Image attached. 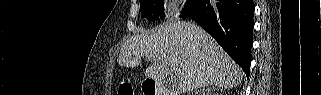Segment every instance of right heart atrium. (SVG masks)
<instances>
[{
  "label": "right heart atrium",
  "instance_id": "d8ad5b80",
  "mask_svg": "<svg viewBox=\"0 0 321 95\" xmlns=\"http://www.w3.org/2000/svg\"><path fill=\"white\" fill-rule=\"evenodd\" d=\"M184 10L183 1H168L163 9V15L168 20L176 19Z\"/></svg>",
  "mask_w": 321,
  "mask_h": 95
}]
</instances>
